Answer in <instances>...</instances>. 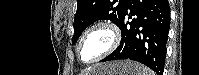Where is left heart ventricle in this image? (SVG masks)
Returning a JSON list of instances; mask_svg holds the SVG:
<instances>
[{
    "instance_id": "b2bd125f",
    "label": "left heart ventricle",
    "mask_w": 199,
    "mask_h": 75,
    "mask_svg": "<svg viewBox=\"0 0 199 75\" xmlns=\"http://www.w3.org/2000/svg\"><path fill=\"white\" fill-rule=\"evenodd\" d=\"M109 35L104 31H94L89 34L81 45V58L87 62L102 53L109 44Z\"/></svg>"
}]
</instances>
